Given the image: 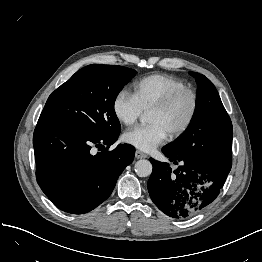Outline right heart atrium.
I'll return each mask as SVG.
<instances>
[{"label":"right heart atrium","mask_w":262,"mask_h":262,"mask_svg":"<svg viewBox=\"0 0 262 262\" xmlns=\"http://www.w3.org/2000/svg\"><path fill=\"white\" fill-rule=\"evenodd\" d=\"M112 107L115 117L124 125L134 124L143 113L134 94L127 90H121L116 94Z\"/></svg>","instance_id":"obj_1"}]
</instances>
